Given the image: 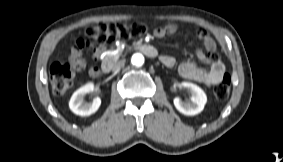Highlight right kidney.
<instances>
[{
    "mask_svg": "<svg viewBox=\"0 0 283 162\" xmlns=\"http://www.w3.org/2000/svg\"><path fill=\"white\" fill-rule=\"evenodd\" d=\"M94 91V84L92 82H89L76 90L69 102V107L73 113L80 116H89L93 113H95L100 105H101V99L99 97H96L93 99L92 103H86L84 102V96L87 93Z\"/></svg>",
    "mask_w": 283,
    "mask_h": 162,
    "instance_id": "right-kidney-1",
    "label": "right kidney"
}]
</instances>
